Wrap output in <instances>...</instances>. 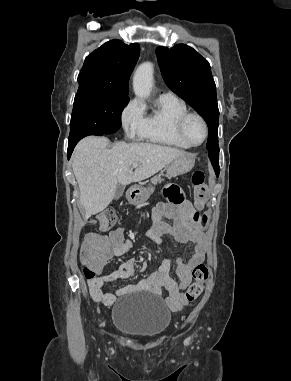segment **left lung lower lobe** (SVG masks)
Returning <instances> with one entry per match:
<instances>
[{
    "mask_svg": "<svg viewBox=\"0 0 291 381\" xmlns=\"http://www.w3.org/2000/svg\"><path fill=\"white\" fill-rule=\"evenodd\" d=\"M212 165L214 167L216 175L219 176V172H220L219 162H212Z\"/></svg>",
    "mask_w": 291,
    "mask_h": 381,
    "instance_id": "obj_1",
    "label": "left lung lower lobe"
}]
</instances>
